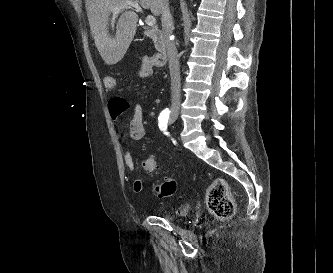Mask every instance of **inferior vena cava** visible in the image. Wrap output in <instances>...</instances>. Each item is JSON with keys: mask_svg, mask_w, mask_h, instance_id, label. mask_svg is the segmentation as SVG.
Masks as SVG:
<instances>
[{"mask_svg": "<svg viewBox=\"0 0 333 273\" xmlns=\"http://www.w3.org/2000/svg\"><path fill=\"white\" fill-rule=\"evenodd\" d=\"M161 21H162V31L165 41V46L167 50L169 69L171 76V97H172V107L171 111L173 113H178L180 109V66H179V55L177 53L176 46L171 40V35L174 29L172 15L169 10L168 0H161Z\"/></svg>", "mask_w": 333, "mask_h": 273, "instance_id": "602c4592", "label": "inferior vena cava"}]
</instances>
